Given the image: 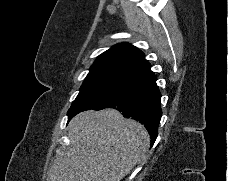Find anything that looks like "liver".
I'll return each instance as SVG.
<instances>
[{
	"label": "liver",
	"instance_id": "1",
	"mask_svg": "<svg viewBox=\"0 0 228 181\" xmlns=\"http://www.w3.org/2000/svg\"><path fill=\"white\" fill-rule=\"evenodd\" d=\"M67 129L69 145L48 181H122L147 159L150 137L145 127L115 109L79 113Z\"/></svg>",
	"mask_w": 228,
	"mask_h": 181
}]
</instances>
